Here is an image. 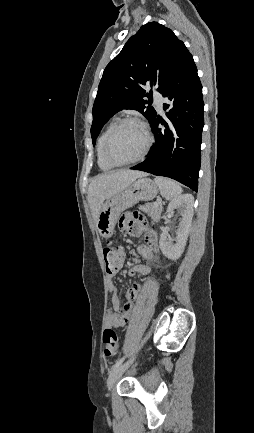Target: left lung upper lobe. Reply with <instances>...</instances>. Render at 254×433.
<instances>
[{
  "label": "left lung upper lobe",
  "instance_id": "obj_1",
  "mask_svg": "<svg viewBox=\"0 0 254 433\" xmlns=\"http://www.w3.org/2000/svg\"><path fill=\"white\" fill-rule=\"evenodd\" d=\"M186 52L172 30L157 22L143 25L130 37L107 65L99 83L93 105V143L104 124L120 110H138L151 123L156 111L144 99L152 96L144 86L158 85L161 93Z\"/></svg>",
  "mask_w": 254,
  "mask_h": 433
}]
</instances>
